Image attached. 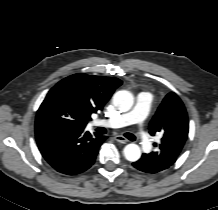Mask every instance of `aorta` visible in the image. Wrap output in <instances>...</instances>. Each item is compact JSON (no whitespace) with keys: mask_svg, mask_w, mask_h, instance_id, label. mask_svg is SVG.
<instances>
[{"mask_svg":"<svg viewBox=\"0 0 218 210\" xmlns=\"http://www.w3.org/2000/svg\"><path fill=\"white\" fill-rule=\"evenodd\" d=\"M133 102V95L126 90L118 91L113 96V104L122 112L130 110ZM123 152L125 158L131 162H135L141 157V149L134 143L126 145Z\"/></svg>","mask_w":218,"mask_h":210,"instance_id":"aorta-1","label":"aorta"}]
</instances>
